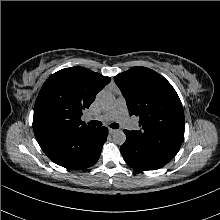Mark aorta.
Masks as SVG:
<instances>
[{"label": "aorta", "mask_w": 220, "mask_h": 220, "mask_svg": "<svg viewBox=\"0 0 220 220\" xmlns=\"http://www.w3.org/2000/svg\"><path fill=\"white\" fill-rule=\"evenodd\" d=\"M96 101L100 107L107 109L113 106L114 96L110 92L101 91L98 93ZM112 139L114 143L122 145L126 141V135L122 130H116L112 135Z\"/></svg>", "instance_id": "762f6f07"}]
</instances>
